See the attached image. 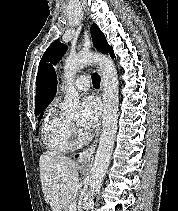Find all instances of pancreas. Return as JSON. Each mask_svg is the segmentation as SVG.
I'll return each instance as SVG.
<instances>
[{
  "label": "pancreas",
  "mask_w": 178,
  "mask_h": 211,
  "mask_svg": "<svg viewBox=\"0 0 178 211\" xmlns=\"http://www.w3.org/2000/svg\"><path fill=\"white\" fill-rule=\"evenodd\" d=\"M74 200H76V197H75V196H73V197L70 199V201H69V206H68V210H67V211H70V206H71V204L73 203Z\"/></svg>",
  "instance_id": "cf45deb5"
}]
</instances>
